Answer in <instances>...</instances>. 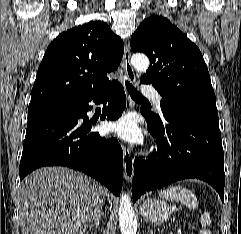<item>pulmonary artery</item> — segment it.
Returning <instances> with one entry per match:
<instances>
[{
    "mask_svg": "<svg viewBox=\"0 0 241 234\" xmlns=\"http://www.w3.org/2000/svg\"><path fill=\"white\" fill-rule=\"evenodd\" d=\"M142 90H143V92L146 95H148L152 99V101L155 104V106L157 108H160L162 97L158 93V91L155 88L151 87V86H145V87H143Z\"/></svg>",
    "mask_w": 241,
    "mask_h": 234,
    "instance_id": "e3ab8cb5",
    "label": "pulmonary artery"
}]
</instances>
